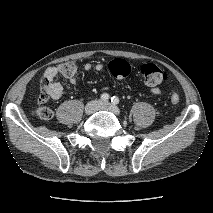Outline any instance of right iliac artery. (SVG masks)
<instances>
[{"mask_svg":"<svg viewBox=\"0 0 213 213\" xmlns=\"http://www.w3.org/2000/svg\"><path fill=\"white\" fill-rule=\"evenodd\" d=\"M108 99H109V95L107 93H103L101 95V100L102 101L106 102V101H108Z\"/></svg>","mask_w":213,"mask_h":213,"instance_id":"obj_1","label":"right iliac artery"}]
</instances>
